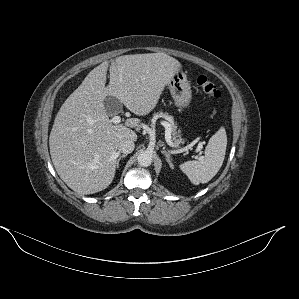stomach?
I'll list each match as a JSON object with an SVG mask.
<instances>
[{
  "mask_svg": "<svg viewBox=\"0 0 299 299\" xmlns=\"http://www.w3.org/2000/svg\"><path fill=\"white\" fill-rule=\"evenodd\" d=\"M168 88L179 111L187 109L192 100V91L186 75L178 71L168 82Z\"/></svg>",
  "mask_w": 299,
  "mask_h": 299,
  "instance_id": "obj_1",
  "label": "stomach"
}]
</instances>
